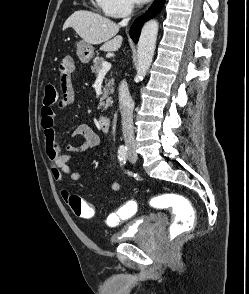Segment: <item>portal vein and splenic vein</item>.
Wrapping results in <instances>:
<instances>
[{"label": "portal vein and splenic vein", "instance_id": "18ae733b", "mask_svg": "<svg viewBox=\"0 0 249 294\" xmlns=\"http://www.w3.org/2000/svg\"><path fill=\"white\" fill-rule=\"evenodd\" d=\"M110 68H111V63H109V62H103V64H102V68H101L99 74H104V73H106L107 71L110 70Z\"/></svg>", "mask_w": 249, "mask_h": 294}]
</instances>
